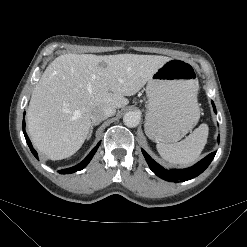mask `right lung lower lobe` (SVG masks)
Listing matches in <instances>:
<instances>
[{
    "mask_svg": "<svg viewBox=\"0 0 247 247\" xmlns=\"http://www.w3.org/2000/svg\"><path fill=\"white\" fill-rule=\"evenodd\" d=\"M23 132H24V136H25V139L27 141V144L31 149V152L38 159L37 153L33 149L32 145H31V142H30V140H29V138H28V136H27V134L25 132V121L24 120H23ZM99 145H100V143L97 144V146L88 154V156L81 163H79L78 165H76L74 167L60 170L59 173L60 174H70V173H74L76 171H79V170H82L83 168H85L88 165V163L90 162V160L92 159V157L94 156V154L97 151Z\"/></svg>",
    "mask_w": 247,
    "mask_h": 247,
    "instance_id": "1",
    "label": "right lung lower lobe"
}]
</instances>
